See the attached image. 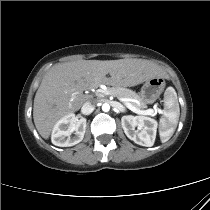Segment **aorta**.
Listing matches in <instances>:
<instances>
[{"instance_id": "aorta-1", "label": "aorta", "mask_w": 210, "mask_h": 210, "mask_svg": "<svg viewBox=\"0 0 210 210\" xmlns=\"http://www.w3.org/2000/svg\"><path fill=\"white\" fill-rule=\"evenodd\" d=\"M102 110H103L104 112H108V111L110 110V105H109L108 103H104V104L102 105Z\"/></svg>"}]
</instances>
